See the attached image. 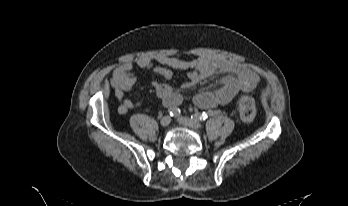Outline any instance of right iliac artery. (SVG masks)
<instances>
[{
	"label": "right iliac artery",
	"instance_id": "1",
	"mask_svg": "<svg viewBox=\"0 0 348 206\" xmlns=\"http://www.w3.org/2000/svg\"><path fill=\"white\" fill-rule=\"evenodd\" d=\"M168 113L172 117H177V116L180 115L181 111L177 107H171V108L168 109Z\"/></svg>",
	"mask_w": 348,
	"mask_h": 206
}]
</instances>
